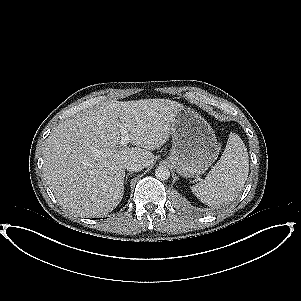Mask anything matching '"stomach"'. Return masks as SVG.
<instances>
[{
  "mask_svg": "<svg viewBox=\"0 0 301 301\" xmlns=\"http://www.w3.org/2000/svg\"><path fill=\"white\" fill-rule=\"evenodd\" d=\"M170 163L183 177L203 174L217 160L220 146L212 128L191 111L179 112L172 125Z\"/></svg>",
  "mask_w": 301,
  "mask_h": 301,
  "instance_id": "0dacf381",
  "label": "stomach"
}]
</instances>
